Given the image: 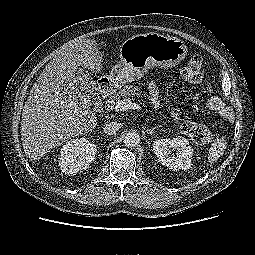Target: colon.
I'll use <instances>...</instances> for the list:
<instances>
[{
  "label": "colon",
  "instance_id": "obj_1",
  "mask_svg": "<svg viewBox=\"0 0 255 255\" xmlns=\"http://www.w3.org/2000/svg\"><path fill=\"white\" fill-rule=\"evenodd\" d=\"M203 60L200 55H193L180 72L183 81L196 84L202 79ZM220 100L213 96L209 99L208 104L217 107ZM175 119L179 123V129L182 134L190 137L197 143H207L212 139L210 130L204 125L184 119L179 112L174 114Z\"/></svg>",
  "mask_w": 255,
  "mask_h": 255
}]
</instances>
